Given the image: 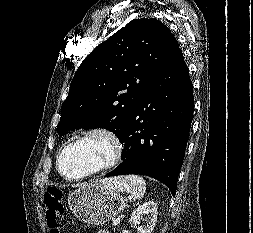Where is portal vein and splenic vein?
Instances as JSON below:
<instances>
[{"mask_svg": "<svg viewBox=\"0 0 253 233\" xmlns=\"http://www.w3.org/2000/svg\"><path fill=\"white\" fill-rule=\"evenodd\" d=\"M119 221H120V219H119V218H117V219L113 220V225H114V226H117V225H118V223H119Z\"/></svg>", "mask_w": 253, "mask_h": 233, "instance_id": "18ae733b", "label": "portal vein and splenic vein"}]
</instances>
